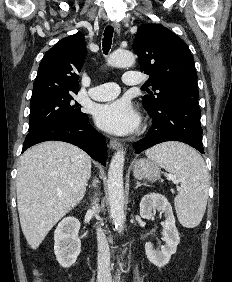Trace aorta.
<instances>
[{
	"instance_id": "aorta-1",
	"label": "aorta",
	"mask_w": 232,
	"mask_h": 282,
	"mask_svg": "<svg viewBox=\"0 0 232 282\" xmlns=\"http://www.w3.org/2000/svg\"><path fill=\"white\" fill-rule=\"evenodd\" d=\"M135 57L131 51L116 50L108 58V64L113 67H130L134 64ZM125 151L118 150L109 165L108 170V200L110 214L115 227L121 232L124 225V187L123 168Z\"/></svg>"
}]
</instances>
